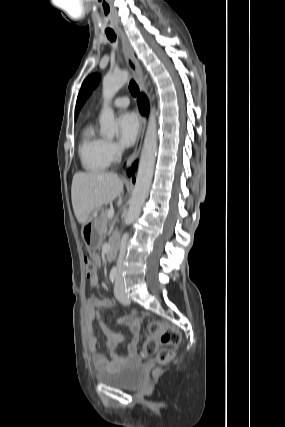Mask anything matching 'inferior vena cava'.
Returning <instances> with one entry per match:
<instances>
[{"label":"inferior vena cava","mask_w":285,"mask_h":427,"mask_svg":"<svg viewBox=\"0 0 285 427\" xmlns=\"http://www.w3.org/2000/svg\"><path fill=\"white\" fill-rule=\"evenodd\" d=\"M128 239V234H124L121 238V243H120V253H119V257L117 260V267L118 270L120 271L121 266H122V262L126 253V242Z\"/></svg>","instance_id":"602c4592"}]
</instances>
